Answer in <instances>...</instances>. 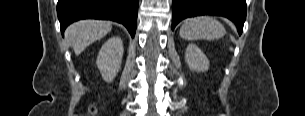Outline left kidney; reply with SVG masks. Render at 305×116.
Returning a JSON list of instances; mask_svg holds the SVG:
<instances>
[{"label":"left kidney","instance_id":"1","mask_svg":"<svg viewBox=\"0 0 305 116\" xmlns=\"http://www.w3.org/2000/svg\"><path fill=\"white\" fill-rule=\"evenodd\" d=\"M185 60L192 71L204 72L209 69L208 58L195 44L187 46Z\"/></svg>","mask_w":305,"mask_h":116}]
</instances>
